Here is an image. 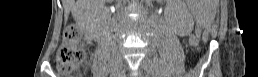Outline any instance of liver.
<instances>
[{
  "label": "liver",
  "instance_id": "6515ba94",
  "mask_svg": "<svg viewBox=\"0 0 258 77\" xmlns=\"http://www.w3.org/2000/svg\"><path fill=\"white\" fill-rule=\"evenodd\" d=\"M87 3L93 4V5L99 4V3L102 4L103 0H78L77 2H75V0H62L65 16L67 17L69 15V12L71 9L76 8L73 12V16L77 18V21H79L76 10L80 9L82 6L83 7L87 6L88 5Z\"/></svg>",
  "mask_w": 258,
  "mask_h": 77
}]
</instances>
